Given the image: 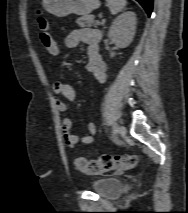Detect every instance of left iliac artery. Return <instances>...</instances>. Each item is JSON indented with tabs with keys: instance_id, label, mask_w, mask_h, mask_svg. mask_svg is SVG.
<instances>
[{
	"instance_id": "obj_1",
	"label": "left iliac artery",
	"mask_w": 188,
	"mask_h": 213,
	"mask_svg": "<svg viewBox=\"0 0 188 213\" xmlns=\"http://www.w3.org/2000/svg\"><path fill=\"white\" fill-rule=\"evenodd\" d=\"M118 133V128L116 125L113 126V134L116 135Z\"/></svg>"
}]
</instances>
